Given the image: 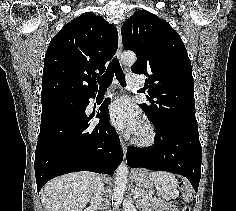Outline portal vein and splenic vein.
<instances>
[{"instance_id":"portal-vein-and-splenic-vein-1","label":"portal vein and splenic vein","mask_w":236,"mask_h":211,"mask_svg":"<svg viewBox=\"0 0 236 211\" xmlns=\"http://www.w3.org/2000/svg\"><path fill=\"white\" fill-rule=\"evenodd\" d=\"M135 198H138V195H137V194L135 195Z\"/></svg>"}]
</instances>
